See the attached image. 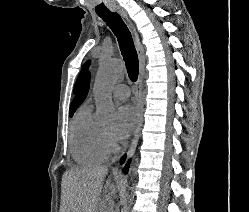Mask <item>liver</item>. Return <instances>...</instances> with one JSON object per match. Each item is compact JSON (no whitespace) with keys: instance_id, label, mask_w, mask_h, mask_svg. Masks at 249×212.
Returning a JSON list of instances; mask_svg holds the SVG:
<instances>
[{"instance_id":"1","label":"liver","mask_w":249,"mask_h":212,"mask_svg":"<svg viewBox=\"0 0 249 212\" xmlns=\"http://www.w3.org/2000/svg\"><path fill=\"white\" fill-rule=\"evenodd\" d=\"M107 174V166H84L65 172L63 186L67 194V212H97L102 184ZM110 182L107 180L104 190L110 188Z\"/></svg>"}]
</instances>
